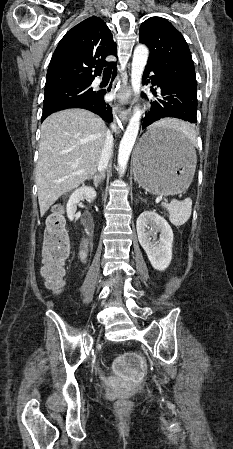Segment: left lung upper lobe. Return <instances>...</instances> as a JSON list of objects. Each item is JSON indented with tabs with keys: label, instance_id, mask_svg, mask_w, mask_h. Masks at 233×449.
Returning <instances> with one entry per match:
<instances>
[{
	"label": "left lung upper lobe",
	"instance_id": "5c2ea615",
	"mask_svg": "<svg viewBox=\"0 0 233 449\" xmlns=\"http://www.w3.org/2000/svg\"><path fill=\"white\" fill-rule=\"evenodd\" d=\"M139 41L150 49L147 64L196 91L194 63L189 47L173 25L164 18L151 17L140 26Z\"/></svg>",
	"mask_w": 233,
	"mask_h": 449
}]
</instances>
